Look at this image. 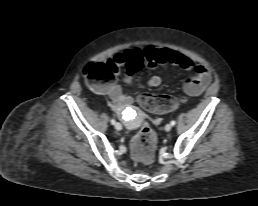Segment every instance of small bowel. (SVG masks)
I'll use <instances>...</instances> for the list:
<instances>
[{"label": "small bowel", "mask_w": 258, "mask_h": 206, "mask_svg": "<svg viewBox=\"0 0 258 206\" xmlns=\"http://www.w3.org/2000/svg\"><path fill=\"white\" fill-rule=\"evenodd\" d=\"M136 54L140 55L144 63L152 69L159 65L170 64L187 71H194L195 75L186 80L183 84L185 93L190 96L201 94L212 81V71L209 67L195 62L174 50L154 46H147L142 50H135L133 52L119 53L109 59L107 64L111 68L115 78L119 76L121 68L126 66ZM161 83L162 78L158 75L152 76L148 80V85L150 87H157ZM98 90L108 98L110 107L123 118L128 128L135 127L141 120L142 116L137 112L134 116L129 117L127 115V112L131 109V99L122 92L119 84L111 82L98 87ZM153 121L158 124L161 119L156 117Z\"/></svg>", "instance_id": "c3829d8e"}]
</instances>
